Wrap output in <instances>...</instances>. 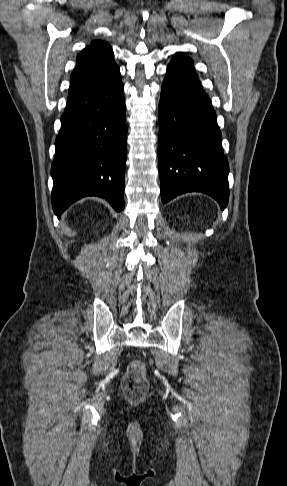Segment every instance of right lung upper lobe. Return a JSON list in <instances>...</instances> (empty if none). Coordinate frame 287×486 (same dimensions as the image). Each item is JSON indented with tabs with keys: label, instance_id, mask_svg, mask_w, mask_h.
<instances>
[{
	"label": "right lung upper lobe",
	"instance_id": "obj_1",
	"mask_svg": "<svg viewBox=\"0 0 287 486\" xmlns=\"http://www.w3.org/2000/svg\"><path fill=\"white\" fill-rule=\"evenodd\" d=\"M76 62V68L70 77L68 97L120 77L113 50L105 41H93L77 56Z\"/></svg>",
	"mask_w": 287,
	"mask_h": 486
}]
</instances>
